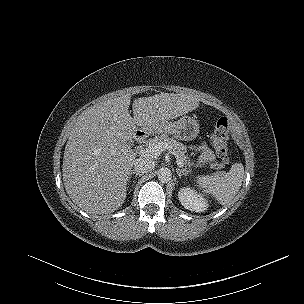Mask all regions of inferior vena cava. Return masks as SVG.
<instances>
[{"instance_id":"1","label":"inferior vena cava","mask_w":304,"mask_h":304,"mask_svg":"<svg viewBox=\"0 0 304 304\" xmlns=\"http://www.w3.org/2000/svg\"><path fill=\"white\" fill-rule=\"evenodd\" d=\"M133 166L135 172L147 173L155 167V163L151 159L140 157L134 160Z\"/></svg>"}]
</instances>
